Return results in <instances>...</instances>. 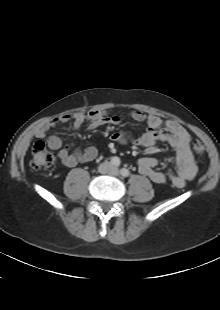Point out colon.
<instances>
[{
    "instance_id": "colon-1",
    "label": "colon",
    "mask_w": 220,
    "mask_h": 310,
    "mask_svg": "<svg viewBox=\"0 0 220 310\" xmlns=\"http://www.w3.org/2000/svg\"><path fill=\"white\" fill-rule=\"evenodd\" d=\"M192 150L196 155H203L205 148L201 141L192 142ZM56 161V156L51 152L43 141H37L33 144L31 150L30 166L34 170H42L51 167Z\"/></svg>"
}]
</instances>
